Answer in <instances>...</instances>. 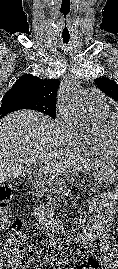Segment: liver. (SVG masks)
I'll use <instances>...</instances> for the list:
<instances>
[{
	"label": "liver",
	"instance_id": "6515ba94",
	"mask_svg": "<svg viewBox=\"0 0 118 269\" xmlns=\"http://www.w3.org/2000/svg\"><path fill=\"white\" fill-rule=\"evenodd\" d=\"M59 129L47 115L20 110L0 120V183L17 178L23 165L42 166L44 174L88 170L100 163L58 149Z\"/></svg>",
	"mask_w": 118,
	"mask_h": 269
}]
</instances>
